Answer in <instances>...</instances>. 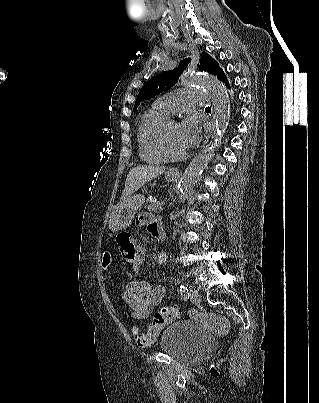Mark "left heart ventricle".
Listing matches in <instances>:
<instances>
[{
    "label": "left heart ventricle",
    "mask_w": 319,
    "mask_h": 403,
    "mask_svg": "<svg viewBox=\"0 0 319 403\" xmlns=\"http://www.w3.org/2000/svg\"><path fill=\"white\" fill-rule=\"evenodd\" d=\"M167 144L169 150L174 154H180L186 151L184 148L180 136H179V124L176 121L170 123L167 130Z\"/></svg>",
    "instance_id": "1"
}]
</instances>
